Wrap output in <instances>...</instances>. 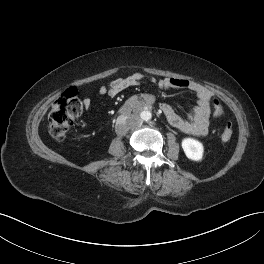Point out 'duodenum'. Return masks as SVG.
Segmentation results:
<instances>
[{
    "label": "duodenum",
    "instance_id": "duodenum-1",
    "mask_svg": "<svg viewBox=\"0 0 264 264\" xmlns=\"http://www.w3.org/2000/svg\"><path fill=\"white\" fill-rule=\"evenodd\" d=\"M140 101L139 103V107L143 108V107H151L154 103L153 99L150 96L144 95L140 98H137L134 102ZM132 104H130L129 106L131 107ZM132 114V112L130 110L125 111L122 115L129 117Z\"/></svg>",
    "mask_w": 264,
    "mask_h": 264
}]
</instances>
